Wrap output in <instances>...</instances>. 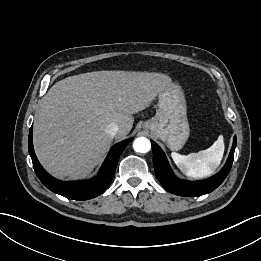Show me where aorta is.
Here are the masks:
<instances>
[{"label":"aorta","instance_id":"aorta-1","mask_svg":"<svg viewBox=\"0 0 261 261\" xmlns=\"http://www.w3.org/2000/svg\"><path fill=\"white\" fill-rule=\"evenodd\" d=\"M133 148L136 152L146 153L151 149V143L147 138L139 137L135 139Z\"/></svg>","mask_w":261,"mask_h":261}]
</instances>
